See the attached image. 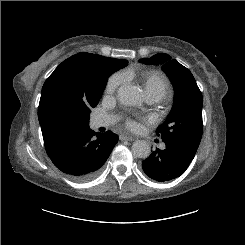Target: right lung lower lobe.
I'll return each instance as SVG.
<instances>
[{
	"label": "right lung lower lobe",
	"instance_id": "right-lung-lower-lobe-1",
	"mask_svg": "<svg viewBox=\"0 0 245 245\" xmlns=\"http://www.w3.org/2000/svg\"><path fill=\"white\" fill-rule=\"evenodd\" d=\"M117 141L118 136L110 131L96 134L87 127L68 137L48 156L71 178L86 181L98 174Z\"/></svg>",
	"mask_w": 245,
	"mask_h": 245
}]
</instances>
